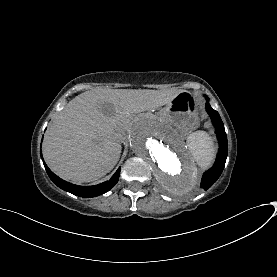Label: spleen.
I'll use <instances>...</instances> for the list:
<instances>
[{
    "instance_id": "1",
    "label": "spleen",
    "mask_w": 277,
    "mask_h": 277,
    "mask_svg": "<svg viewBox=\"0 0 277 277\" xmlns=\"http://www.w3.org/2000/svg\"><path fill=\"white\" fill-rule=\"evenodd\" d=\"M188 148L201 166L209 165L213 156V145L204 132H194L188 137Z\"/></svg>"
}]
</instances>
